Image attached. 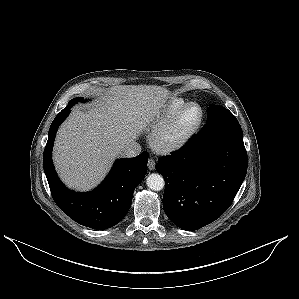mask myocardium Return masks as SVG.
I'll return each mask as SVG.
<instances>
[{"mask_svg": "<svg viewBox=\"0 0 299 299\" xmlns=\"http://www.w3.org/2000/svg\"><path fill=\"white\" fill-rule=\"evenodd\" d=\"M190 107H198L200 116L196 124L187 132L179 136H172L171 133L179 121L182 114ZM204 120V110L202 106L196 102H190L181 107L168 119L163 121L153 132L152 142L154 146L163 152H171L184 147L197 134Z\"/></svg>", "mask_w": 299, "mask_h": 299, "instance_id": "myocardium-1", "label": "myocardium"}]
</instances>
